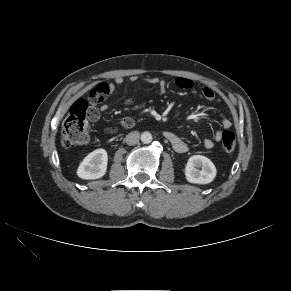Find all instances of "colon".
<instances>
[{"mask_svg": "<svg viewBox=\"0 0 291 291\" xmlns=\"http://www.w3.org/2000/svg\"><path fill=\"white\" fill-rule=\"evenodd\" d=\"M105 91L104 87H95L90 93L89 101L79 99L71 106L62 126V144L65 147H73L88 141L92 107L102 101ZM121 124L125 128H130L133 126V120L127 117ZM221 144L224 151L233 152L236 147L235 135L229 130H224Z\"/></svg>", "mask_w": 291, "mask_h": 291, "instance_id": "1", "label": "colon"}]
</instances>
